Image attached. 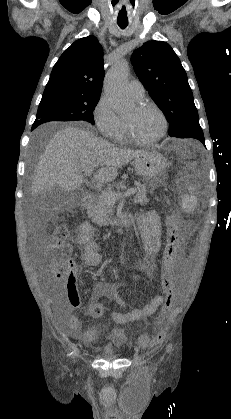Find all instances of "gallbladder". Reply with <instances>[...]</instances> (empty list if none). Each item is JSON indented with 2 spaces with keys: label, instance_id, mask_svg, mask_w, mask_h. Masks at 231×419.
<instances>
[{
  "label": "gallbladder",
  "instance_id": "obj_1",
  "mask_svg": "<svg viewBox=\"0 0 231 419\" xmlns=\"http://www.w3.org/2000/svg\"><path fill=\"white\" fill-rule=\"evenodd\" d=\"M66 199V194L58 188H53L41 195L38 205L49 212L56 210Z\"/></svg>",
  "mask_w": 231,
  "mask_h": 419
}]
</instances>
